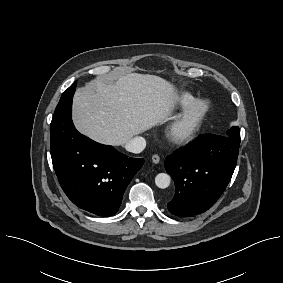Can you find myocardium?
<instances>
[{"label":"myocardium","mask_w":283,"mask_h":283,"mask_svg":"<svg viewBox=\"0 0 283 283\" xmlns=\"http://www.w3.org/2000/svg\"><path fill=\"white\" fill-rule=\"evenodd\" d=\"M210 104L207 100L197 99L187 105L167 130L169 141L176 145L190 143L201 131Z\"/></svg>","instance_id":"1"}]
</instances>
